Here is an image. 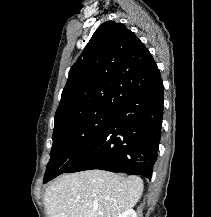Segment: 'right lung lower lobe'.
<instances>
[{"instance_id":"right-lung-lower-lobe-1","label":"right lung lower lobe","mask_w":211,"mask_h":217,"mask_svg":"<svg viewBox=\"0 0 211 217\" xmlns=\"http://www.w3.org/2000/svg\"><path fill=\"white\" fill-rule=\"evenodd\" d=\"M162 115L163 81L160 78L129 97L116 110L99 140L64 173L100 169L151 179Z\"/></svg>"}]
</instances>
